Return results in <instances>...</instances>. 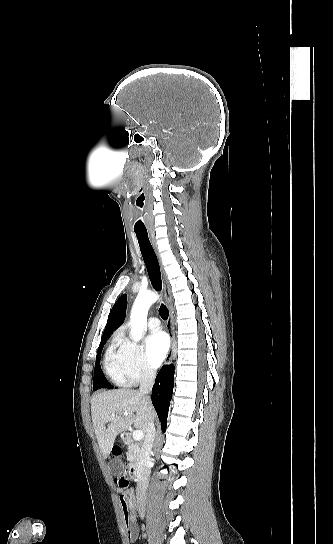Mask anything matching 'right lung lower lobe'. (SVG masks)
I'll list each match as a JSON object with an SVG mask.
<instances>
[{
    "label": "right lung lower lobe",
    "instance_id": "obj_1",
    "mask_svg": "<svg viewBox=\"0 0 333 544\" xmlns=\"http://www.w3.org/2000/svg\"><path fill=\"white\" fill-rule=\"evenodd\" d=\"M174 386V366H163L152 389V403L161 421L162 430L167 425V415Z\"/></svg>",
    "mask_w": 333,
    "mask_h": 544
}]
</instances>
